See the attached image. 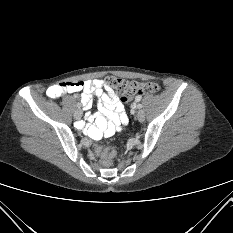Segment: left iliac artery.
Here are the masks:
<instances>
[{
	"mask_svg": "<svg viewBox=\"0 0 233 233\" xmlns=\"http://www.w3.org/2000/svg\"><path fill=\"white\" fill-rule=\"evenodd\" d=\"M141 100V97L140 96H137L136 97V101H140ZM139 109H141L142 108V105L141 104H138V106H137Z\"/></svg>",
	"mask_w": 233,
	"mask_h": 233,
	"instance_id": "44dca946",
	"label": "left iliac artery"
}]
</instances>
